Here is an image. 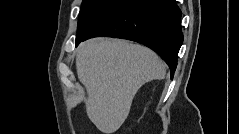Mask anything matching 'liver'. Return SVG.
I'll use <instances>...</instances> for the list:
<instances>
[{"instance_id":"liver-1","label":"liver","mask_w":239,"mask_h":134,"mask_svg":"<svg viewBox=\"0 0 239 134\" xmlns=\"http://www.w3.org/2000/svg\"><path fill=\"white\" fill-rule=\"evenodd\" d=\"M76 69L87 90V116L104 134L120 128L142 85L162 80L166 74L165 64L149 48L109 38L82 43Z\"/></svg>"}]
</instances>
